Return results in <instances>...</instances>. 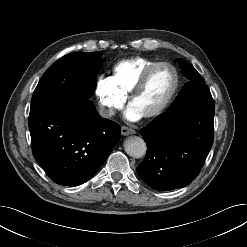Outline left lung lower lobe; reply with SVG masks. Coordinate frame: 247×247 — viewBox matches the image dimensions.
Wrapping results in <instances>:
<instances>
[{
	"label": "left lung lower lobe",
	"instance_id": "left-lung-lower-lobe-1",
	"mask_svg": "<svg viewBox=\"0 0 247 247\" xmlns=\"http://www.w3.org/2000/svg\"><path fill=\"white\" fill-rule=\"evenodd\" d=\"M214 100L204 85L143 128L147 153L137 167L150 187L167 191L190 184L213 144Z\"/></svg>",
	"mask_w": 247,
	"mask_h": 247
}]
</instances>
